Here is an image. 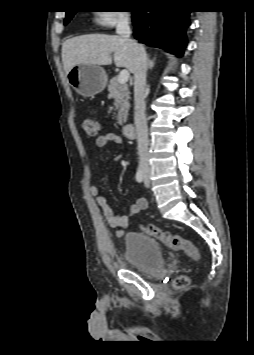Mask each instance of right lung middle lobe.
Segmentation results:
<instances>
[{
	"mask_svg": "<svg viewBox=\"0 0 254 355\" xmlns=\"http://www.w3.org/2000/svg\"><path fill=\"white\" fill-rule=\"evenodd\" d=\"M75 13H76V11H74V12L68 11V12L66 13V19H65L64 23L67 24V23L71 20V18L73 17V15H74Z\"/></svg>",
	"mask_w": 254,
	"mask_h": 355,
	"instance_id": "1",
	"label": "right lung middle lobe"
}]
</instances>
